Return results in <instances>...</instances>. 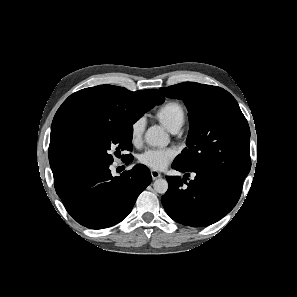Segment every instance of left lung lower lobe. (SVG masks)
<instances>
[{
    "label": "left lung lower lobe",
    "instance_id": "0a47b994",
    "mask_svg": "<svg viewBox=\"0 0 297 297\" xmlns=\"http://www.w3.org/2000/svg\"><path fill=\"white\" fill-rule=\"evenodd\" d=\"M172 168L185 173L167 177L169 188L161 201L176 222L192 227L211 225L229 213L239 200L242 187L218 175L187 171L176 164ZM190 172L195 178L186 181Z\"/></svg>",
    "mask_w": 297,
    "mask_h": 297
}]
</instances>
